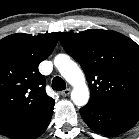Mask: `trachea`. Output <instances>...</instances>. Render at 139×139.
Instances as JSON below:
<instances>
[{
    "label": "trachea",
    "mask_w": 139,
    "mask_h": 139,
    "mask_svg": "<svg viewBox=\"0 0 139 139\" xmlns=\"http://www.w3.org/2000/svg\"><path fill=\"white\" fill-rule=\"evenodd\" d=\"M66 88V83L61 77H55L52 81V89L61 91Z\"/></svg>",
    "instance_id": "trachea-1"
}]
</instances>
